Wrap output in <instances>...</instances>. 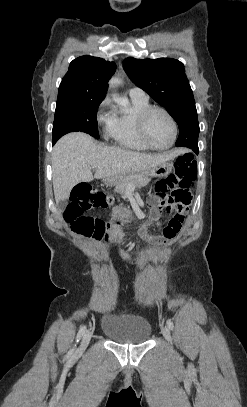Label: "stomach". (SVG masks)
Segmentation results:
<instances>
[{
	"instance_id": "obj_1",
	"label": "stomach",
	"mask_w": 247,
	"mask_h": 407,
	"mask_svg": "<svg viewBox=\"0 0 247 407\" xmlns=\"http://www.w3.org/2000/svg\"><path fill=\"white\" fill-rule=\"evenodd\" d=\"M173 167L174 163L172 161H167L155 167L146 166L144 169H135L133 175L135 178H148L149 176L166 177L172 172ZM126 176L127 175L111 176L105 178L104 183L110 187L116 186Z\"/></svg>"
}]
</instances>
